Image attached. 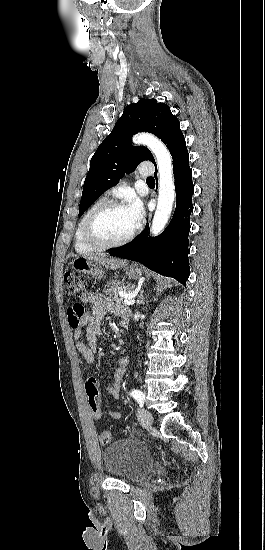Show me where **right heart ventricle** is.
<instances>
[{"instance_id":"obj_1","label":"right heart ventricle","mask_w":265,"mask_h":550,"mask_svg":"<svg viewBox=\"0 0 265 550\" xmlns=\"http://www.w3.org/2000/svg\"><path fill=\"white\" fill-rule=\"evenodd\" d=\"M107 201V198L105 196H102L98 199H96L89 207L88 209L85 211V213L83 214V216L80 218L78 224H77V227H76V230H75V234H74V247L76 249V251L78 253H82V254H86V253H90V252H93V251H96L97 248L89 245L84 237H83V225H84V222L87 218V216L96 208L98 207L99 205L103 204L104 202Z\"/></svg>"}]
</instances>
